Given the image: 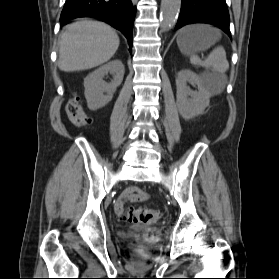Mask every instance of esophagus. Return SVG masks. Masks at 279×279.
<instances>
[{
    "mask_svg": "<svg viewBox=\"0 0 279 279\" xmlns=\"http://www.w3.org/2000/svg\"><path fill=\"white\" fill-rule=\"evenodd\" d=\"M133 2H136L137 0H132Z\"/></svg>",
    "mask_w": 279,
    "mask_h": 279,
    "instance_id": "1",
    "label": "esophagus"
}]
</instances>
